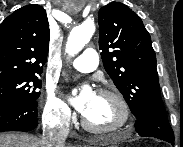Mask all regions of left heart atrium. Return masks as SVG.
<instances>
[{
    "instance_id": "1",
    "label": "left heart atrium",
    "mask_w": 183,
    "mask_h": 147,
    "mask_svg": "<svg viewBox=\"0 0 183 147\" xmlns=\"http://www.w3.org/2000/svg\"><path fill=\"white\" fill-rule=\"evenodd\" d=\"M96 93L92 89V87L88 84L84 85L80 94L71 99L74 107L82 114L86 112L89 105L93 101Z\"/></svg>"
}]
</instances>
